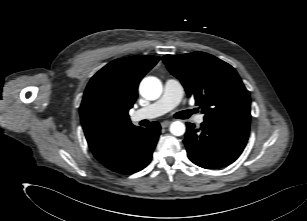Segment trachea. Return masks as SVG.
Listing matches in <instances>:
<instances>
[{
  "label": "trachea",
  "mask_w": 307,
  "mask_h": 221,
  "mask_svg": "<svg viewBox=\"0 0 307 221\" xmlns=\"http://www.w3.org/2000/svg\"><path fill=\"white\" fill-rule=\"evenodd\" d=\"M195 113L194 110L183 111L184 118H188L191 114Z\"/></svg>",
  "instance_id": "3493384b"
}]
</instances>
